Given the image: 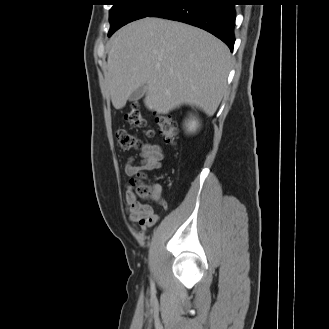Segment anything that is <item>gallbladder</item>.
Returning a JSON list of instances; mask_svg holds the SVG:
<instances>
[{"mask_svg": "<svg viewBox=\"0 0 329 329\" xmlns=\"http://www.w3.org/2000/svg\"><path fill=\"white\" fill-rule=\"evenodd\" d=\"M145 92H146V86L142 85L131 93V95L129 96V100L138 101L139 99H141L144 96Z\"/></svg>", "mask_w": 329, "mask_h": 329, "instance_id": "obj_1", "label": "gallbladder"}]
</instances>
